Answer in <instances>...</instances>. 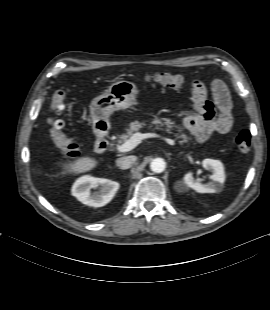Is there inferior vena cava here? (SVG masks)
<instances>
[{"instance_id":"1","label":"inferior vena cava","mask_w":270,"mask_h":310,"mask_svg":"<svg viewBox=\"0 0 270 310\" xmlns=\"http://www.w3.org/2000/svg\"><path fill=\"white\" fill-rule=\"evenodd\" d=\"M135 160L134 156H124L116 160V165L123 170L129 169L134 164Z\"/></svg>"}]
</instances>
